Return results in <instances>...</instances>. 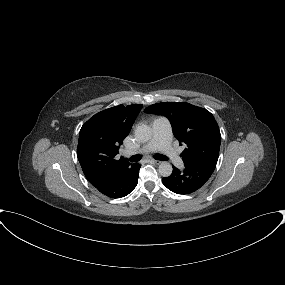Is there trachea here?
Returning a JSON list of instances; mask_svg holds the SVG:
<instances>
[{
    "instance_id": "1",
    "label": "trachea",
    "mask_w": 285,
    "mask_h": 285,
    "mask_svg": "<svg viewBox=\"0 0 285 285\" xmlns=\"http://www.w3.org/2000/svg\"><path fill=\"white\" fill-rule=\"evenodd\" d=\"M153 157L157 160H162V161L168 160V158L166 156L160 155V154H155ZM128 160L130 162H137V161L141 160V156L140 155H133Z\"/></svg>"
}]
</instances>
